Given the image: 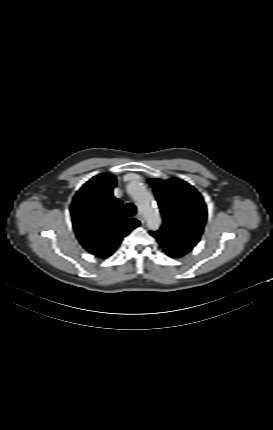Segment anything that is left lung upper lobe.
I'll return each instance as SVG.
<instances>
[{"label":"left lung upper lobe","instance_id":"1","mask_svg":"<svg viewBox=\"0 0 273 430\" xmlns=\"http://www.w3.org/2000/svg\"><path fill=\"white\" fill-rule=\"evenodd\" d=\"M162 213L163 224L154 236L167 255L178 258L199 242L207 219L200 193L189 183L172 178L150 179Z\"/></svg>","mask_w":273,"mask_h":430}]
</instances>
